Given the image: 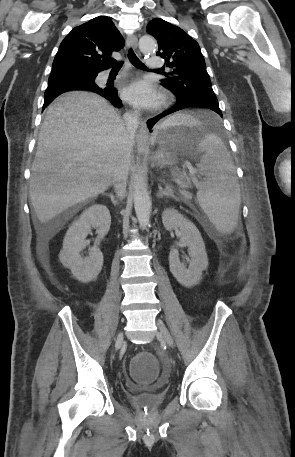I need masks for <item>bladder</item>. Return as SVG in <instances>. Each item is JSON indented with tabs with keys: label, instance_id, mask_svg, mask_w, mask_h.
I'll list each match as a JSON object with an SVG mask.
<instances>
[{
	"label": "bladder",
	"instance_id": "bladder-1",
	"mask_svg": "<svg viewBox=\"0 0 295 457\" xmlns=\"http://www.w3.org/2000/svg\"><path fill=\"white\" fill-rule=\"evenodd\" d=\"M161 350L160 348L158 349ZM158 361H162L161 366L163 368V374H159V383H169L170 375H173L174 368L167 352H158L156 355ZM131 362V360H130ZM166 394L164 392H142L131 396V400L134 404V411H157L158 407L163 403Z\"/></svg>",
	"mask_w": 295,
	"mask_h": 457
}]
</instances>
